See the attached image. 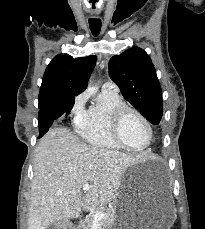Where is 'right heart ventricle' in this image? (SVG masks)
I'll return each instance as SVG.
<instances>
[{
	"label": "right heart ventricle",
	"mask_w": 205,
	"mask_h": 229,
	"mask_svg": "<svg viewBox=\"0 0 205 229\" xmlns=\"http://www.w3.org/2000/svg\"><path fill=\"white\" fill-rule=\"evenodd\" d=\"M124 105L126 104L118 92L103 88L95 102L76 124L81 138L96 148L122 149L112 136L111 117L115 109Z\"/></svg>",
	"instance_id": "e07e8e85"
}]
</instances>
